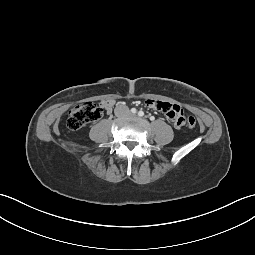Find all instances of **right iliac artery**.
I'll return each mask as SVG.
<instances>
[{
    "label": "right iliac artery",
    "instance_id": "82829eb1",
    "mask_svg": "<svg viewBox=\"0 0 255 255\" xmlns=\"http://www.w3.org/2000/svg\"><path fill=\"white\" fill-rule=\"evenodd\" d=\"M130 111L132 114H135L137 112V110L135 108H132Z\"/></svg>",
    "mask_w": 255,
    "mask_h": 255
}]
</instances>
